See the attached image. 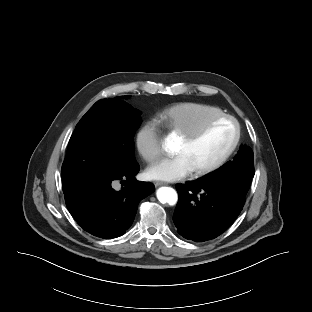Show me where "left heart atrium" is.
<instances>
[{"mask_svg": "<svg viewBox=\"0 0 312 312\" xmlns=\"http://www.w3.org/2000/svg\"><path fill=\"white\" fill-rule=\"evenodd\" d=\"M194 171L192 164L183 153L166 157L152 165L146 171V176L151 180L179 181L189 176Z\"/></svg>", "mask_w": 312, "mask_h": 312, "instance_id": "left-heart-atrium-1", "label": "left heart atrium"}]
</instances>
